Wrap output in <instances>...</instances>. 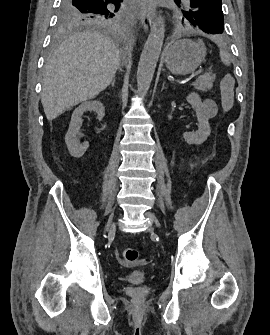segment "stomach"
<instances>
[{
    "mask_svg": "<svg viewBox=\"0 0 270 335\" xmlns=\"http://www.w3.org/2000/svg\"><path fill=\"white\" fill-rule=\"evenodd\" d=\"M165 64L172 74H191L205 58V46L202 40H177L164 52Z\"/></svg>",
    "mask_w": 270,
    "mask_h": 335,
    "instance_id": "0dacf381",
    "label": "stomach"
}]
</instances>
